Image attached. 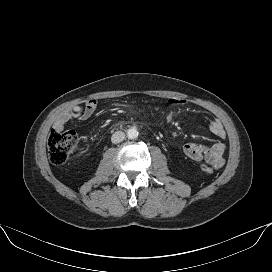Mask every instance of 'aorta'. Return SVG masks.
Wrapping results in <instances>:
<instances>
[{
  "label": "aorta",
  "instance_id": "1",
  "mask_svg": "<svg viewBox=\"0 0 272 272\" xmlns=\"http://www.w3.org/2000/svg\"><path fill=\"white\" fill-rule=\"evenodd\" d=\"M127 137L129 139H136L138 137V131L137 129L135 128H130L128 131H127Z\"/></svg>",
  "mask_w": 272,
  "mask_h": 272
}]
</instances>
